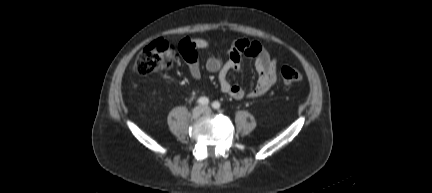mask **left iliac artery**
<instances>
[{"mask_svg":"<svg viewBox=\"0 0 432 193\" xmlns=\"http://www.w3.org/2000/svg\"><path fill=\"white\" fill-rule=\"evenodd\" d=\"M212 107H213L214 109H219V108L221 107V104H220L218 101H214V102L212 103Z\"/></svg>","mask_w":432,"mask_h":193,"instance_id":"44dca946","label":"left iliac artery"}]
</instances>
